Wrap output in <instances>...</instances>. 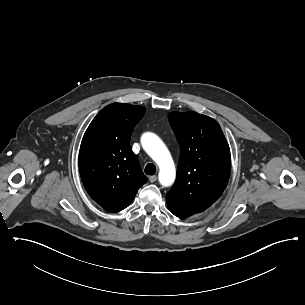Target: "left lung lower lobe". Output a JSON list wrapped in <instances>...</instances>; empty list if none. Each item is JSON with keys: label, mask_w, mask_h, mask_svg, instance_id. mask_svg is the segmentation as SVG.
Returning a JSON list of instances; mask_svg holds the SVG:
<instances>
[{"label": "left lung lower lobe", "mask_w": 305, "mask_h": 305, "mask_svg": "<svg viewBox=\"0 0 305 305\" xmlns=\"http://www.w3.org/2000/svg\"><path fill=\"white\" fill-rule=\"evenodd\" d=\"M169 210L177 217L181 218V219H185L187 217L192 216L193 214L189 213V212H185L182 211L174 206L168 205Z\"/></svg>", "instance_id": "1"}]
</instances>
